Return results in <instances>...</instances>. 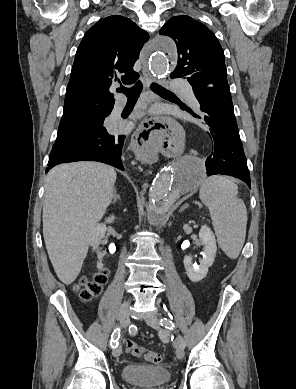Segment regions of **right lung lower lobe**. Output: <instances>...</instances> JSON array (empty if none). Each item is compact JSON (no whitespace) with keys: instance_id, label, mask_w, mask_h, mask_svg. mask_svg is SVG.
<instances>
[{"instance_id":"right-lung-lower-lobe-1","label":"right lung lower lobe","mask_w":296,"mask_h":389,"mask_svg":"<svg viewBox=\"0 0 296 389\" xmlns=\"http://www.w3.org/2000/svg\"><path fill=\"white\" fill-rule=\"evenodd\" d=\"M125 136L102 128L90 134L55 142L46 173L55 165L75 161H98L124 170L121 161Z\"/></svg>"}]
</instances>
